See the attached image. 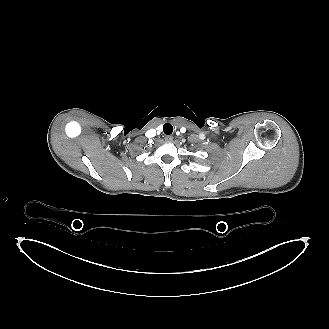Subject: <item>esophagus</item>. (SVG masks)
<instances>
[{
    "mask_svg": "<svg viewBox=\"0 0 329 329\" xmlns=\"http://www.w3.org/2000/svg\"><path fill=\"white\" fill-rule=\"evenodd\" d=\"M164 139H165L166 142H171L173 140V136L166 135Z\"/></svg>",
    "mask_w": 329,
    "mask_h": 329,
    "instance_id": "esophagus-1",
    "label": "esophagus"
}]
</instances>
